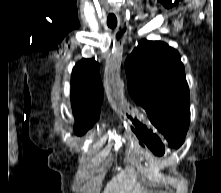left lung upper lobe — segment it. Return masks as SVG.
I'll use <instances>...</instances> for the list:
<instances>
[{
  "mask_svg": "<svg viewBox=\"0 0 221 193\" xmlns=\"http://www.w3.org/2000/svg\"><path fill=\"white\" fill-rule=\"evenodd\" d=\"M128 91L171 147H180L190 123L189 88L179 53L143 40L127 57Z\"/></svg>",
  "mask_w": 221,
  "mask_h": 193,
  "instance_id": "1",
  "label": "left lung upper lobe"
}]
</instances>
